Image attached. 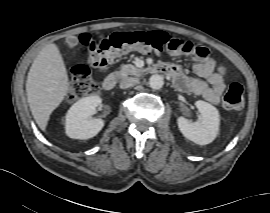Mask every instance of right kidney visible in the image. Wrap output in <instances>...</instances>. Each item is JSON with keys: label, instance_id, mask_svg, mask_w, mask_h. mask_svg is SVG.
<instances>
[{"label": "right kidney", "instance_id": "ca27d5eb", "mask_svg": "<svg viewBox=\"0 0 270 213\" xmlns=\"http://www.w3.org/2000/svg\"><path fill=\"white\" fill-rule=\"evenodd\" d=\"M99 96H89L74 103L65 116L66 135L73 139H89L104 127L102 119L91 118L101 104Z\"/></svg>", "mask_w": 270, "mask_h": 213}]
</instances>
